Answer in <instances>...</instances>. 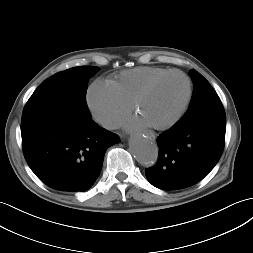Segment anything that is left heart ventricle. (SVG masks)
Instances as JSON below:
<instances>
[{
    "mask_svg": "<svg viewBox=\"0 0 253 253\" xmlns=\"http://www.w3.org/2000/svg\"><path fill=\"white\" fill-rule=\"evenodd\" d=\"M185 79L177 74L160 81L140 102L137 114L149 125L163 124L172 119L186 96Z\"/></svg>",
    "mask_w": 253,
    "mask_h": 253,
    "instance_id": "obj_1",
    "label": "left heart ventricle"
}]
</instances>
